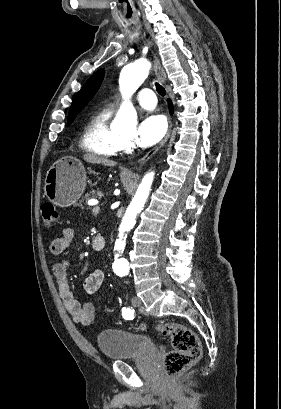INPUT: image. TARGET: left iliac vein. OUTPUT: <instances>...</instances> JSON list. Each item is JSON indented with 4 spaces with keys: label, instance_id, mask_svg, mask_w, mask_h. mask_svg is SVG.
Masks as SVG:
<instances>
[{
    "label": "left iliac vein",
    "instance_id": "1",
    "mask_svg": "<svg viewBox=\"0 0 281 409\" xmlns=\"http://www.w3.org/2000/svg\"><path fill=\"white\" fill-rule=\"evenodd\" d=\"M132 304H133L134 307H139V306L142 305V301H141V299L139 297L134 296L132 298Z\"/></svg>",
    "mask_w": 281,
    "mask_h": 409
}]
</instances>
